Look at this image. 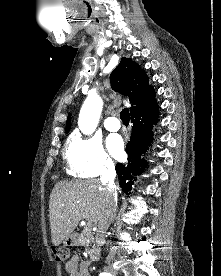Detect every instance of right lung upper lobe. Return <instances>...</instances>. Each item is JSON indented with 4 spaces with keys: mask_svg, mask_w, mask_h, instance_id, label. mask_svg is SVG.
Segmentation results:
<instances>
[{
    "mask_svg": "<svg viewBox=\"0 0 221 276\" xmlns=\"http://www.w3.org/2000/svg\"><path fill=\"white\" fill-rule=\"evenodd\" d=\"M111 86L113 90L129 97L132 103L131 115L156 102L154 89L149 85L146 73L129 58H122L111 73ZM70 119L69 115L66 133L71 127Z\"/></svg>",
    "mask_w": 221,
    "mask_h": 276,
    "instance_id": "obj_1",
    "label": "right lung upper lobe"
}]
</instances>
